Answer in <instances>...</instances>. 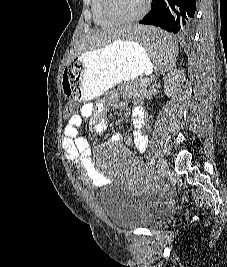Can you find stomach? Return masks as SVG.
<instances>
[{"label": "stomach", "mask_w": 227, "mask_h": 267, "mask_svg": "<svg viewBox=\"0 0 227 267\" xmlns=\"http://www.w3.org/2000/svg\"><path fill=\"white\" fill-rule=\"evenodd\" d=\"M162 31V30H160ZM155 70L145 47L117 39L66 64L60 87L67 101H90L121 82Z\"/></svg>", "instance_id": "obj_1"}]
</instances>
